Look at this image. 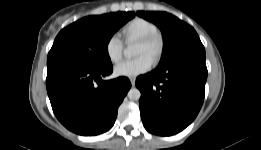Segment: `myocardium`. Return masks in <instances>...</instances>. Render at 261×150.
Segmentation results:
<instances>
[{
    "label": "myocardium",
    "instance_id": "obj_1",
    "mask_svg": "<svg viewBox=\"0 0 261 150\" xmlns=\"http://www.w3.org/2000/svg\"><path fill=\"white\" fill-rule=\"evenodd\" d=\"M138 42L149 48L154 63H158L161 60L165 49V42L159 32L141 37L138 39Z\"/></svg>",
    "mask_w": 261,
    "mask_h": 150
}]
</instances>
